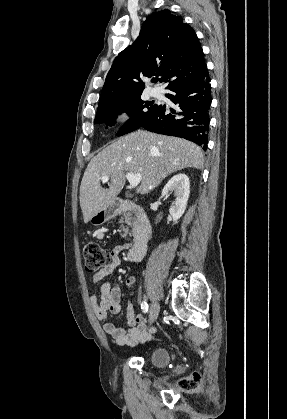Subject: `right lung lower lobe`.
I'll return each mask as SVG.
<instances>
[{
    "label": "right lung lower lobe",
    "instance_id": "98d812e1",
    "mask_svg": "<svg viewBox=\"0 0 287 419\" xmlns=\"http://www.w3.org/2000/svg\"><path fill=\"white\" fill-rule=\"evenodd\" d=\"M166 94L175 109L157 106L153 114L140 126L158 134L185 138L207 149L211 86L208 71L167 87Z\"/></svg>",
    "mask_w": 287,
    "mask_h": 419
}]
</instances>
